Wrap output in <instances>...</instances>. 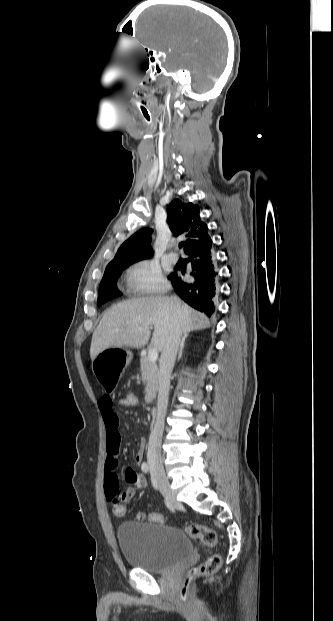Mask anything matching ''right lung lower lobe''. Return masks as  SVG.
I'll return each instance as SVG.
<instances>
[{"label": "right lung lower lobe", "instance_id": "right-lung-lower-lobe-1", "mask_svg": "<svg viewBox=\"0 0 333 621\" xmlns=\"http://www.w3.org/2000/svg\"><path fill=\"white\" fill-rule=\"evenodd\" d=\"M193 282H184L176 273L169 275L174 291L190 306L210 316L215 310L218 273L212 245L187 253ZM185 271V268L181 269Z\"/></svg>", "mask_w": 333, "mask_h": 621}]
</instances>
